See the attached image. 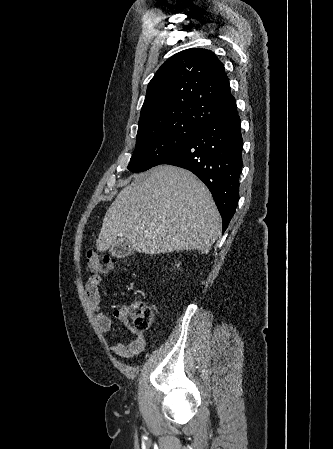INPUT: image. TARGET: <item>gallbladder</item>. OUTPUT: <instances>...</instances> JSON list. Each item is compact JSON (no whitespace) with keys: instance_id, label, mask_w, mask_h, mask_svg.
I'll return each instance as SVG.
<instances>
[{"instance_id":"1","label":"gallbladder","mask_w":333,"mask_h":449,"mask_svg":"<svg viewBox=\"0 0 333 449\" xmlns=\"http://www.w3.org/2000/svg\"><path fill=\"white\" fill-rule=\"evenodd\" d=\"M135 250L132 248L130 242H127L125 239H118L116 244L113 245L109 252L113 257L124 258L133 254Z\"/></svg>"}]
</instances>
